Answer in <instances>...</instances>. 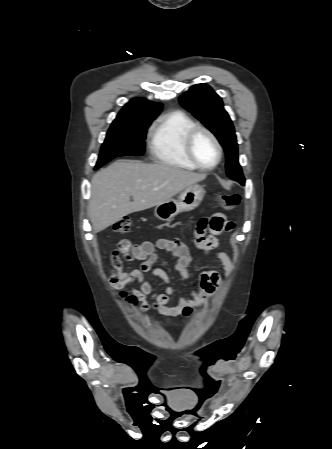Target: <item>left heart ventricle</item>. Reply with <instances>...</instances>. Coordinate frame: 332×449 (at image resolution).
<instances>
[{
  "mask_svg": "<svg viewBox=\"0 0 332 449\" xmlns=\"http://www.w3.org/2000/svg\"><path fill=\"white\" fill-rule=\"evenodd\" d=\"M193 151L198 161L205 165H212L217 159V149L213 141L205 134L198 133L193 141Z\"/></svg>",
  "mask_w": 332,
  "mask_h": 449,
  "instance_id": "b2bd125f",
  "label": "left heart ventricle"
}]
</instances>
